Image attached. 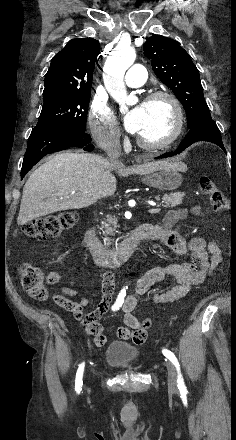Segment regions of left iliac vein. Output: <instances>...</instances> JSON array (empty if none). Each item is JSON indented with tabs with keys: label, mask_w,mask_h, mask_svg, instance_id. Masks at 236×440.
Returning <instances> with one entry per match:
<instances>
[{
	"label": "left iliac vein",
	"mask_w": 236,
	"mask_h": 440,
	"mask_svg": "<svg viewBox=\"0 0 236 440\" xmlns=\"http://www.w3.org/2000/svg\"><path fill=\"white\" fill-rule=\"evenodd\" d=\"M167 371H168V385L171 390L177 389V375L176 370L172 362L167 361L166 363Z\"/></svg>",
	"instance_id": "obj_1"
}]
</instances>
